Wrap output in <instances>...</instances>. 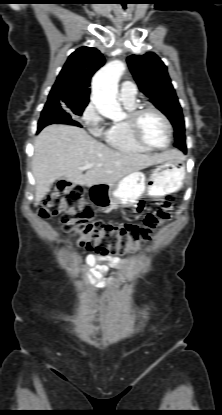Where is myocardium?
Wrapping results in <instances>:
<instances>
[{"label":"myocardium","mask_w":222,"mask_h":415,"mask_svg":"<svg viewBox=\"0 0 222 415\" xmlns=\"http://www.w3.org/2000/svg\"><path fill=\"white\" fill-rule=\"evenodd\" d=\"M149 111L154 112L157 115H159V117L164 121L167 127L168 139L165 145L163 146H154L148 143L144 139L141 133V129H140L141 117L143 116L144 113L149 112ZM126 122L129 126L130 132L132 136L134 137V139L145 148H148L150 150H164L168 148L172 142L173 127H172L171 121L169 120L167 115L162 110H160L159 108L151 104H142V105L136 106L135 109H133L132 111L128 113Z\"/></svg>","instance_id":"myocardium-1"}]
</instances>
